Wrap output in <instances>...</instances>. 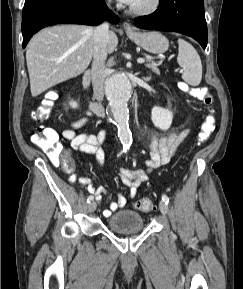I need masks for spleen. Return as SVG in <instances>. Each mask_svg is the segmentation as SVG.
<instances>
[{
	"label": "spleen",
	"instance_id": "1",
	"mask_svg": "<svg viewBox=\"0 0 243 289\" xmlns=\"http://www.w3.org/2000/svg\"><path fill=\"white\" fill-rule=\"evenodd\" d=\"M177 62L183 68L182 79L191 86H198L202 79L201 59L194 47L183 39H178Z\"/></svg>",
	"mask_w": 243,
	"mask_h": 289
}]
</instances>
